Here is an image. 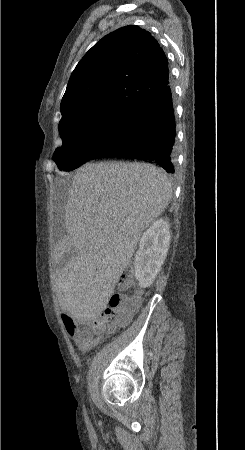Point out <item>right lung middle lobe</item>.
I'll use <instances>...</instances> for the list:
<instances>
[{
    "label": "right lung middle lobe",
    "instance_id": "right-lung-middle-lobe-1",
    "mask_svg": "<svg viewBox=\"0 0 245 450\" xmlns=\"http://www.w3.org/2000/svg\"><path fill=\"white\" fill-rule=\"evenodd\" d=\"M135 109L115 103L90 106L62 117V147L53 160L60 170L78 168L97 152H104L120 139Z\"/></svg>",
    "mask_w": 245,
    "mask_h": 450
}]
</instances>
